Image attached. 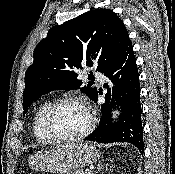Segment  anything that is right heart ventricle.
I'll use <instances>...</instances> for the list:
<instances>
[{"instance_id": "e07e8e85", "label": "right heart ventricle", "mask_w": 175, "mask_h": 174, "mask_svg": "<svg viewBox=\"0 0 175 174\" xmlns=\"http://www.w3.org/2000/svg\"><path fill=\"white\" fill-rule=\"evenodd\" d=\"M53 101L51 99H46L39 104L37 107L33 120H32V132L35 139L39 143L47 144L51 143L53 140L47 135L43 126L44 115Z\"/></svg>"}]
</instances>
